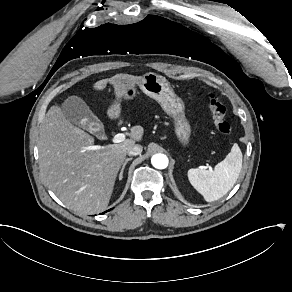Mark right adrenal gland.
<instances>
[{
    "instance_id": "1",
    "label": "right adrenal gland",
    "mask_w": 292,
    "mask_h": 292,
    "mask_svg": "<svg viewBox=\"0 0 292 292\" xmlns=\"http://www.w3.org/2000/svg\"><path fill=\"white\" fill-rule=\"evenodd\" d=\"M130 160H132V157L127 158V159L125 160V162H124V164H123V166H122V168H121V171H120V173H119V180H122V178H123V172H124L125 166H126V164L128 163V161H130Z\"/></svg>"
}]
</instances>
